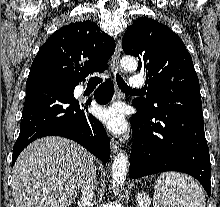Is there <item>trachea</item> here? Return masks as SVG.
I'll use <instances>...</instances> for the list:
<instances>
[{
    "mask_svg": "<svg viewBox=\"0 0 220 207\" xmlns=\"http://www.w3.org/2000/svg\"><path fill=\"white\" fill-rule=\"evenodd\" d=\"M116 81H117V84H118V87L123 91V92H138V90H134V89H131L126 83L125 81L122 79V77L117 73L116 74ZM89 82L91 83H101L102 82V79L98 76H95V77H91L89 79Z\"/></svg>",
    "mask_w": 220,
    "mask_h": 207,
    "instance_id": "1",
    "label": "trachea"
}]
</instances>
